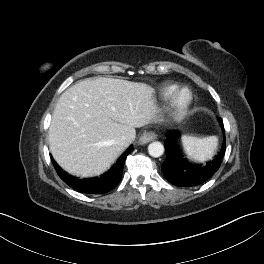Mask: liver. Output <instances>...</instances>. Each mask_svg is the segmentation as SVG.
<instances>
[{
  "label": "liver",
  "instance_id": "1",
  "mask_svg": "<svg viewBox=\"0 0 264 264\" xmlns=\"http://www.w3.org/2000/svg\"><path fill=\"white\" fill-rule=\"evenodd\" d=\"M158 119L154 89L127 80L99 77L81 80L59 98L49 128L54 160L67 172L90 176L105 171L130 143L135 128Z\"/></svg>",
  "mask_w": 264,
  "mask_h": 264
}]
</instances>
